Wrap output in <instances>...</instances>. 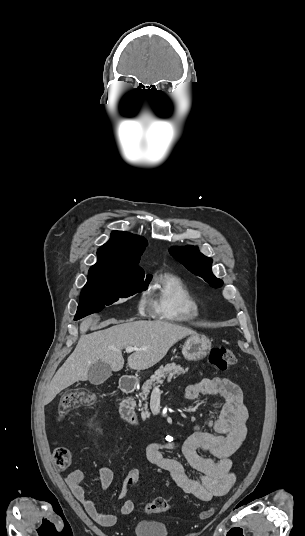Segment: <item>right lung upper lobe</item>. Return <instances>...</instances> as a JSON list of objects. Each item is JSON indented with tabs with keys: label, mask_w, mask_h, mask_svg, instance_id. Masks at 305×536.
Wrapping results in <instances>:
<instances>
[{
	"label": "right lung upper lobe",
	"mask_w": 305,
	"mask_h": 536,
	"mask_svg": "<svg viewBox=\"0 0 305 536\" xmlns=\"http://www.w3.org/2000/svg\"><path fill=\"white\" fill-rule=\"evenodd\" d=\"M147 241L137 235L113 231L110 240L97 251L98 261L89 270V279H141L144 270L138 266Z\"/></svg>",
	"instance_id": "1"
}]
</instances>
